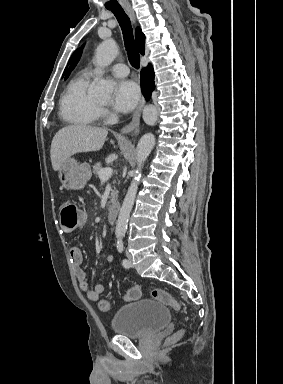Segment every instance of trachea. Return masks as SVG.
Returning <instances> with one entry per match:
<instances>
[{
    "label": "trachea",
    "mask_w": 283,
    "mask_h": 384,
    "mask_svg": "<svg viewBox=\"0 0 283 384\" xmlns=\"http://www.w3.org/2000/svg\"><path fill=\"white\" fill-rule=\"evenodd\" d=\"M114 13L118 23L122 29L124 44L127 51L128 59L132 67L139 68L140 66V55L136 48L134 37H133V29L131 26V22L129 17L124 12L123 8H108Z\"/></svg>",
    "instance_id": "obj_1"
}]
</instances>
